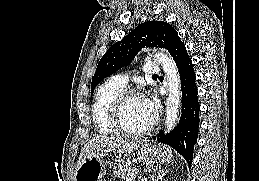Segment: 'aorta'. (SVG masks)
<instances>
[{
    "label": "aorta",
    "instance_id": "762f6f07",
    "mask_svg": "<svg viewBox=\"0 0 259 181\" xmlns=\"http://www.w3.org/2000/svg\"><path fill=\"white\" fill-rule=\"evenodd\" d=\"M154 57L160 63L168 82L166 99V117L164 131L170 132L176 125L181 104V83L178 68L173 59L166 53L158 52Z\"/></svg>",
    "mask_w": 259,
    "mask_h": 181
}]
</instances>
